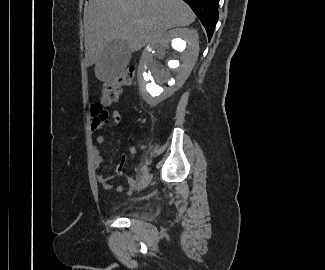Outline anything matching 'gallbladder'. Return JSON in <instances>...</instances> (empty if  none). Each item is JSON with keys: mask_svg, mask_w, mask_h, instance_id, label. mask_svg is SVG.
Wrapping results in <instances>:
<instances>
[{"mask_svg": "<svg viewBox=\"0 0 325 270\" xmlns=\"http://www.w3.org/2000/svg\"><path fill=\"white\" fill-rule=\"evenodd\" d=\"M131 54L126 41L114 40L104 49L96 71L101 77L112 79L127 67Z\"/></svg>", "mask_w": 325, "mask_h": 270, "instance_id": "1", "label": "gallbladder"}]
</instances>
